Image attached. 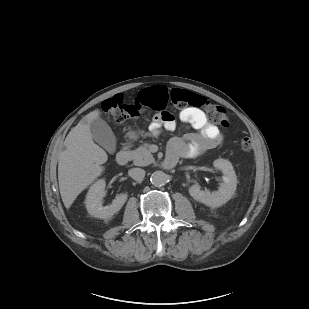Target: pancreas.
<instances>
[{
  "instance_id": "1",
  "label": "pancreas",
  "mask_w": 309,
  "mask_h": 309,
  "mask_svg": "<svg viewBox=\"0 0 309 309\" xmlns=\"http://www.w3.org/2000/svg\"><path fill=\"white\" fill-rule=\"evenodd\" d=\"M147 144H143L139 148L129 152L130 159L136 166H147L154 162L153 155L147 148Z\"/></svg>"
}]
</instances>
